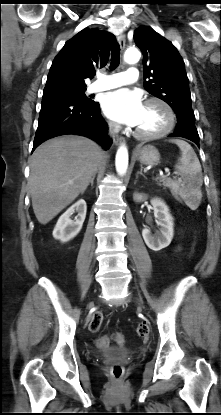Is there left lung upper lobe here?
I'll return each mask as SVG.
<instances>
[{
	"instance_id": "5c2ea615",
	"label": "left lung upper lobe",
	"mask_w": 221,
	"mask_h": 415,
	"mask_svg": "<svg viewBox=\"0 0 221 415\" xmlns=\"http://www.w3.org/2000/svg\"><path fill=\"white\" fill-rule=\"evenodd\" d=\"M143 53L144 88L168 103L177 118L194 116L185 64L175 46L148 26L134 31Z\"/></svg>"
}]
</instances>
